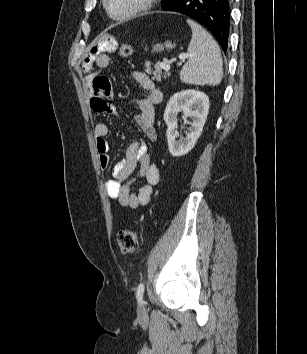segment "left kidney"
<instances>
[{
    "label": "left kidney",
    "instance_id": "1",
    "mask_svg": "<svg viewBox=\"0 0 307 354\" xmlns=\"http://www.w3.org/2000/svg\"><path fill=\"white\" fill-rule=\"evenodd\" d=\"M183 111L185 117L192 119L191 127L186 137L177 140V114ZM209 112V98L200 91L182 90L175 93L169 100L164 121L168 126L166 131L169 152L174 157L188 153L200 137Z\"/></svg>",
    "mask_w": 307,
    "mask_h": 354
}]
</instances>
